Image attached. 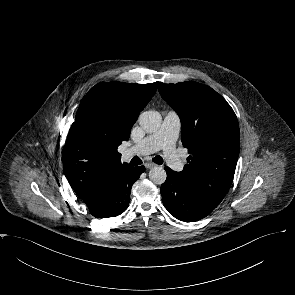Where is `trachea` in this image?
<instances>
[{
    "label": "trachea",
    "instance_id": "1",
    "mask_svg": "<svg viewBox=\"0 0 295 295\" xmlns=\"http://www.w3.org/2000/svg\"><path fill=\"white\" fill-rule=\"evenodd\" d=\"M153 162H155L156 164H162L163 163V159L161 156H155L153 159H152ZM142 164V160L135 156L131 159L130 161V165L132 166H137V165H140Z\"/></svg>",
    "mask_w": 295,
    "mask_h": 295
}]
</instances>
